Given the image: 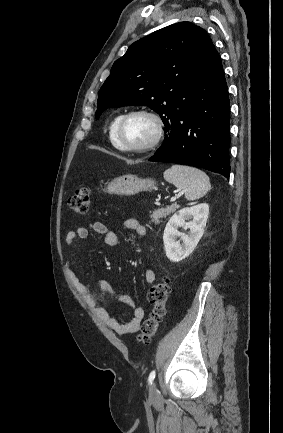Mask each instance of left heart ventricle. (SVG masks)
Segmentation results:
<instances>
[{
	"label": "left heart ventricle",
	"mask_w": 283,
	"mask_h": 433,
	"mask_svg": "<svg viewBox=\"0 0 283 433\" xmlns=\"http://www.w3.org/2000/svg\"><path fill=\"white\" fill-rule=\"evenodd\" d=\"M156 123L146 115H134L123 126L122 140L129 146H140L150 142L156 134Z\"/></svg>",
	"instance_id": "obj_1"
}]
</instances>
